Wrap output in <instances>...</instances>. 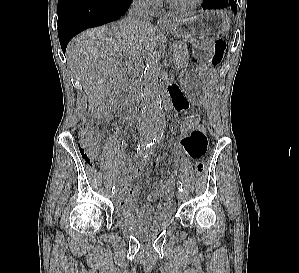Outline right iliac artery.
<instances>
[{
	"mask_svg": "<svg viewBox=\"0 0 299 273\" xmlns=\"http://www.w3.org/2000/svg\"><path fill=\"white\" fill-rule=\"evenodd\" d=\"M146 147H148V144L146 142L139 143L137 147V153H142ZM112 192L113 194L115 193V187H112Z\"/></svg>",
	"mask_w": 299,
	"mask_h": 273,
	"instance_id": "right-iliac-artery-1",
	"label": "right iliac artery"
}]
</instances>
